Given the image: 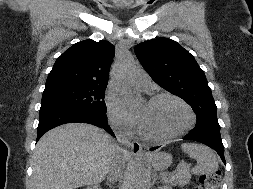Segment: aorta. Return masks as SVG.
<instances>
[{"mask_svg":"<svg viewBox=\"0 0 253 189\" xmlns=\"http://www.w3.org/2000/svg\"><path fill=\"white\" fill-rule=\"evenodd\" d=\"M135 70V62L132 56L125 53L116 63L113 75L116 86L130 106H136L140 102L139 96L132 92L128 86V77ZM134 189H144L146 182V169L141 163H137L133 172Z\"/></svg>","mask_w":253,"mask_h":189,"instance_id":"762f6f07","label":"aorta"}]
</instances>
